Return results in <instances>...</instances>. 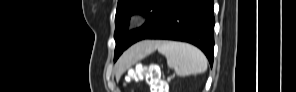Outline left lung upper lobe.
<instances>
[{
  "mask_svg": "<svg viewBox=\"0 0 296 92\" xmlns=\"http://www.w3.org/2000/svg\"><path fill=\"white\" fill-rule=\"evenodd\" d=\"M170 0H118L114 38L116 48L114 61L122 52L137 41L145 39L150 33L156 30L164 19L165 9ZM134 13L143 14L147 20L145 24L130 32L127 27L130 15Z\"/></svg>",
  "mask_w": 296,
  "mask_h": 92,
  "instance_id": "1",
  "label": "left lung upper lobe"
}]
</instances>
